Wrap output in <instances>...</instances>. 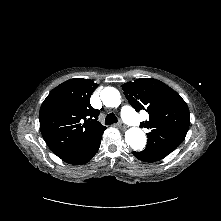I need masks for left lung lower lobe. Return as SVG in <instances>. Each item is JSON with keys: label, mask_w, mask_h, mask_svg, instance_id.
Masks as SVG:
<instances>
[{"label": "left lung lower lobe", "mask_w": 221, "mask_h": 221, "mask_svg": "<svg viewBox=\"0 0 221 221\" xmlns=\"http://www.w3.org/2000/svg\"><path fill=\"white\" fill-rule=\"evenodd\" d=\"M133 155L144 162H156L167 156V154H162L154 151L143 150L140 152H133Z\"/></svg>", "instance_id": "0a47b994"}]
</instances>
